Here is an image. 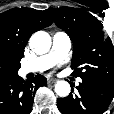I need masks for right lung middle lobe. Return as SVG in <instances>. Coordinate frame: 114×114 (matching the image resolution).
<instances>
[{"label":"right lung middle lobe","mask_w":114,"mask_h":114,"mask_svg":"<svg viewBox=\"0 0 114 114\" xmlns=\"http://www.w3.org/2000/svg\"><path fill=\"white\" fill-rule=\"evenodd\" d=\"M19 66L16 67H6L0 65V82L6 81L10 78H12L15 74H17Z\"/></svg>","instance_id":"dd1d6c3e"}]
</instances>
